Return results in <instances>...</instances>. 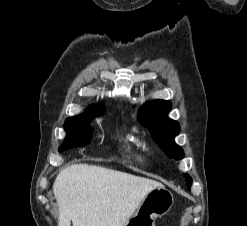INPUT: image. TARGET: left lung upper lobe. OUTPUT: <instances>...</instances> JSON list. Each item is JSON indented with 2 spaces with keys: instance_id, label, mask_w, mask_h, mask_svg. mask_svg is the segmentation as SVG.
I'll list each match as a JSON object with an SVG mask.
<instances>
[{
  "instance_id": "left-lung-upper-lobe-1",
  "label": "left lung upper lobe",
  "mask_w": 247,
  "mask_h": 226,
  "mask_svg": "<svg viewBox=\"0 0 247 226\" xmlns=\"http://www.w3.org/2000/svg\"><path fill=\"white\" fill-rule=\"evenodd\" d=\"M171 110V102L166 100H154L143 105L139 111L140 121L152 133L153 139L158 146L170 158L180 160L184 152L180 146L174 142V137L180 130L179 124L167 117ZM188 188L191 186L192 179L184 174Z\"/></svg>"
}]
</instances>
